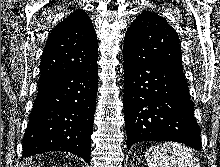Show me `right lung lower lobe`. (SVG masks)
<instances>
[{
	"instance_id": "obj_1",
	"label": "right lung lower lobe",
	"mask_w": 220,
	"mask_h": 167,
	"mask_svg": "<svg viewBox=\"0 0 220 167\" xmlns=\"http://www.w3.org/2000/svg\"><path fill=\"white\" fill-rule=\"evenodd\" d=\"M97 88V65L40 83L22 157L66 151L89 164Z\"/></svg>"
}]
</instances>
